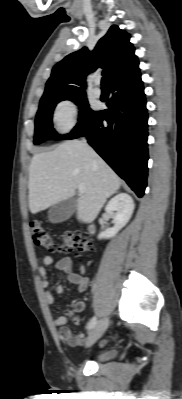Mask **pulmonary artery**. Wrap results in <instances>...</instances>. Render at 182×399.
<instances>
[{
	"instance_id": "e3ab8cb5",
	"label": "pulmonary artery",
	"mask_w": 182,
	"mask_h": 399,
	"mask_svg": "<svg viewBox=\"0 0 182 399\" xmlns=\"http://www.w3.org/2000/svg\"><path fill=\"white\" fill-rule=\"evenodd\" d=\"M93 92H94L96 97H100L101 94H102L101 88L99 86V80L98 79L95 80V87H94Z\"/></svg>"
}]
</instances>
